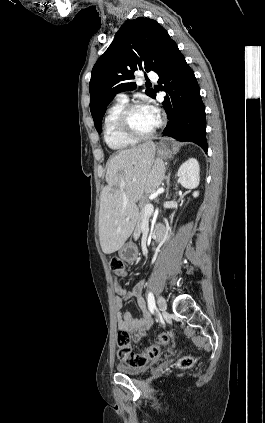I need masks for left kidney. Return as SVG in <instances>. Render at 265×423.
I'll return each instance as SVG.
<instances>
[{"mask_svg": "<svg viewBox=\"0 0 265 423\" xmlns=\"http://www.w3.org/2000/svg\"><path fill=\"white\" fill-rule=\"evenodd\" d=\"M178 182L187 189H194L200 183V168L197 159L190 158L185 161L179 168L178 173ZM199 196L198 191L193 192V197L196 198Z\"/></svg>", "mask_w": 265, "mask_h": 423, "instance_id": "obj_1", "label": "left kidney"}]
</instances>
